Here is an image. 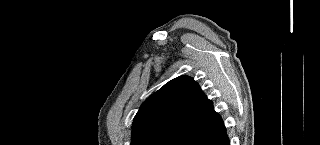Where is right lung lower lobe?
<instances>
[{
  "label": "right lung lower lobe",
  "instance_id": "obj_1",
  "mask_svg": "<svg viewBox=\"0 0 320 145\" xmlns=\"http://www.w3.org/2000/svg\"><path fill=\"white\" fill-rule=\"evenodd\" d=\"M167 145H230L222 118L217 114L206 123L177 133Z\"/></svg>",
  "mask_w": 320,
  "mask_h": 145
}]
</instances>
